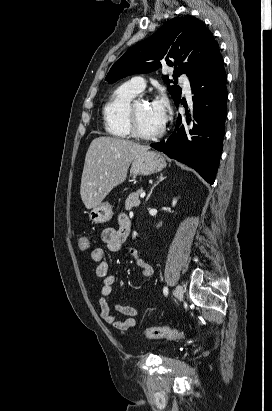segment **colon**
<instances>
[{
    "mask_svg": "<svg viewBox=\"0 0 272 411\" xmlns=\"http://www.w3.org/2000/svg\"><path fill=\"white\" fill-rule=\"evenodd\" d=\"M78 245L81 250H87L90 246V241L87 237L82 236L79 238ZM143 333L150 339L163 338L178 341L185 338V334L182 331L170 327H147L144 329Z\"/></svg>",
    "mask_w": 272,
    "mask_h": 411,
    "instance_id": "colon-1",
    "label": "colon"
}]
</instances>
